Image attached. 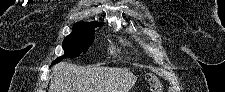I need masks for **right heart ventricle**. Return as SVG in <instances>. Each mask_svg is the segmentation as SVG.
Listing matches in <instances>:
<instances>
[{
    "instance_id": "e07e8e85",
    "label": "right heart ventricle",
    "mask_w": 225,
    "mask_h": 92,
    "mask_svg": "<svg viewBox=\"0 0 225 92\" xmlns=\"http://www.w3.org/2000/svg\"><path fill=\"white\" fill-rule=\"evenodd\" d=\"M110 51L113 55H118L120 53L119 49H116V48H112L110 49Z\"/></svg>"
}]
</instances>
